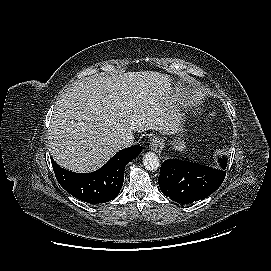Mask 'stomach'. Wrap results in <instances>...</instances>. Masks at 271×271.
I'll return each instance as SVG.
<instances>
[{
	"label": "stomach",
	"instance_id": "0dacf381",
	"mask_svg": "<svg viewBox=\"0 0 271 271\" xmlns=\"http://www.w3.org/2000/svg\"><path fill=\"white\" fill-rule=\"evenodd\" d=\"M173 145H174V149L177 150V151H183L186 148L185 143L183 141H181L180 139L175 140L173 142Z\"/></svg>",
	"mask_w": 271,
	"mask_h": 271
}]
</instances>
